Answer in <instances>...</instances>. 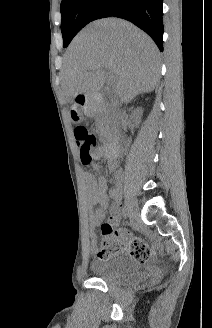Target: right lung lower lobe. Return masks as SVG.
Returning <instances> with one entry per match:
<instances>
[{
    "label": "right lung lower lobe",
    "mask_w": 212,
    "mask_h": 328,
    "mask_svg": "<svg viewBox=\"0 0 212 328\" xmlns=\"http://www.w3.org/2000/svg\"><path fill=\"white\" fill-rule=\"evenodd\" d=\"M162 6V0H103L92 19L111 16L126 19L149 34L163 51Z\"/></svg>",
    "instance_id": "98d812e1"
}]
</instances>
